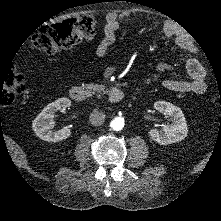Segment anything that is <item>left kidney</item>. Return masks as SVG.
Returning a JSON list of instances; mask_svg holds the SVG:
<instances>
[{
	"instance_id": "left-kidney-1",
	"label": "left kidney",
	"mask_w": 221,
	"mask_h": 221,
	"mask_svg": "<svg viewBox=\"0 0 221 221\" xmlns=\"http://www.w3.org/2000/svg\"><path fill=\"white\" fill-rule=\"evenodd\" d=\"M156 111L163 112L172 119L171 123L163 124L161 128L151 130L152 138L160 144H171L183 140L188 131V126L182 110L176 105L167 101H156L153 104Z\"/></svg>"
}]
</instances>
